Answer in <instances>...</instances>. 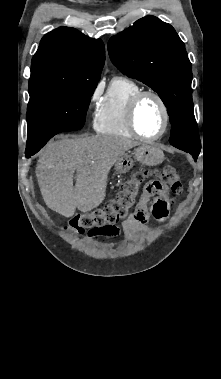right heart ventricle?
<instances>
[{
  "label": "right heart ventricle",
  "mask_w": 221,
  "mask_h": 379,
  "mask_svg": "<svg viewBox=\"0 0 221 379\" xmlns=\"http://www.w3.org/2000/svg\"><path fill=\"white\" fill-rule=\"evenodd\" d=\"M140 91L139 85L129 78H113L95 114V131L109 136L132 138L134 135L127 123V107L132 97Z\"/></svg>",
  "instance_id": "1"
}]
</instances>
